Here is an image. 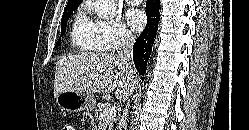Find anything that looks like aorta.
Masks as SVG:
<instances>
[{
	"instance_id": "1",
	"label": "aorta",
	"mask_w": 249,
	"mask_h": 130,
	"mask_svg": "<svg viewBox=\"0 0 249 130\" xmlns=\"http://www.w3.org/2000/svg\"><path fill=\"white\" fill-rule=\"evenodd\" d=\"M116 6V0H96L94 3L96 14L103 19L112 18L116 11Z\"/></svg>"
}]
</instances>
